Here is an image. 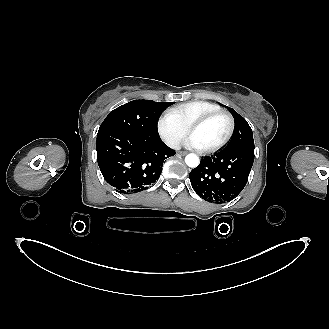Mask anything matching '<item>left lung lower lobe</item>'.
Here are the masks:
<instances>
[{
	"mask_svg": "<svg viewBox=\"0 0 329 329\" xmlns=\"http://www.w3.org/2000/svg\"><path fill=\"white\" fill-rule=\"evenodd\" d=\"M254 162V149L222 150L205 156L190 172L195 192L206 201L225 203L245 187Z\"/></svg>",
	"mask_w": 329,
	"mask_h": 329,
	"instance_id": "1",
	"label": "left lung lower lobe"
}]
</instances>
